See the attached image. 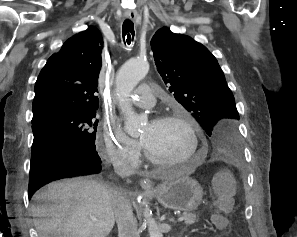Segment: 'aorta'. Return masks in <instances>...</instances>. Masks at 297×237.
I'll list each match as a JSON object with an SVG mask.
<instances>
[{"label": "aorta", "mask_w": 297, "mask_h": 237, "mask_svg": "<svg viewBox=\"0 0 297 237\" xmlns=\"http://www.w3.org/2000/svg\"><path fill=\"white\" fill-rule=\"evenodd\" d=\"M149 64L146 60L133 58L128 60L119 69L116 75V94L119 100V107L125 118L124 129L130 136L139 135L142 125L146 118L135 113L129 96L138 83L147 75ZM144 221L148 225L150 237H163L158 228L156 221L149 214L147 209L144 210Z\"/></svg>", "instance_id": "obj_1"}]
</instances>
